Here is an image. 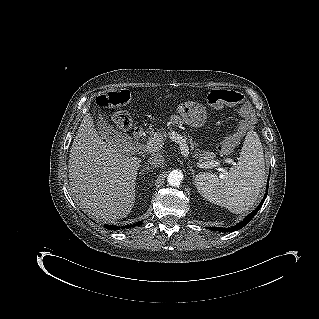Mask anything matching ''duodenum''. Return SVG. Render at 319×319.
<instances>
[{"label": "duodenum", "instance_id": "410a0bca", "mask_svg": "<svg viewBox=\"0 0 319 319\" xmlns=\"http://www.w3.org/2000/svg\"><path fill=\"white\" fill-rule=\"evenodd\" d=\"M143 134H144V129L143 127H136L133 131V138L136 142L140 141L143 137Z\"/></svg>", "mask_w": 319, "mask_h": 319}]
</instances>
